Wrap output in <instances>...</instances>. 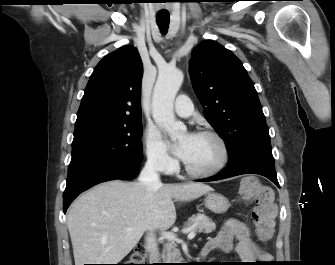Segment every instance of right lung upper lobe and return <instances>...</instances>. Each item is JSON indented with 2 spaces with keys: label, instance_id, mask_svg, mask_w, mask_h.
Listing matches in <instances>:
<instances>
[{
  "label": "right lung upper lobe",
  "instance_id": "right-lung-upper-lobe-1",
  "mask_svg": "<svg viewBox=\"0 0 335 265\" xmlns=\"http://www.w3.org/2000/svg\"><path fill=\"white\" fill-rule=\"evenodd\" d=\"M142 61L126 45L106 55L95 67L77 113L75 129L141 120Z\"/></svg>",
  "mask_w": 335,
  "mask_h": 265
}]
</instances>
